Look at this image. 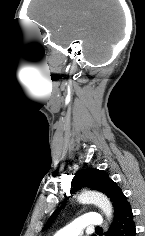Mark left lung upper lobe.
<instances>
[{"mask_svg":"<svg viewBox=\"0 0 145 236\" xmlns=\"http://www.w3.org/2000/svg\"><path fill=\"white\" fill-rule=\"evenodd\" d=\"M71 186V194L83 186L106 194L112 202L115 216L124 212L130 207V204L123 194L121 188L113 180H111L109 175L103 170L93 168L81 169L73 178ZM63 206L54 211V213L48 219L43 230L47 229L52 224Z\"/></svg>","mask_w":145,"mask_h":236,"instance_id":"obj_1","label":"left lung upper lobe"}]
</instances>
